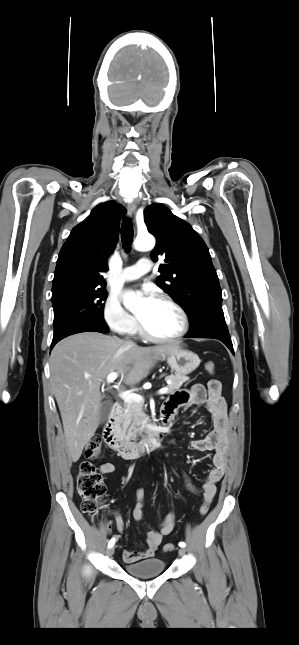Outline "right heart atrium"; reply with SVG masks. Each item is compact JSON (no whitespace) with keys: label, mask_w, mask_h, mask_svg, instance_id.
Returning <instances> with one entry per match:
<instances>
[{"label":"right heart atrium","mask_w":299,"mask_h":645,"mask_svg":"<svg viewBox=\"0 0 299 645\" xmlns=\"http://www.w3.org/2000/svg\"><path fill=\"white\" fill-rule=\"evenodd\" d=\"M103 319L110 330L118 334H132L137 329L135 318L115 297H109L103 307Z\"/></svg>","instance_id":"right-heart-atrium-1"}]
</instances>
